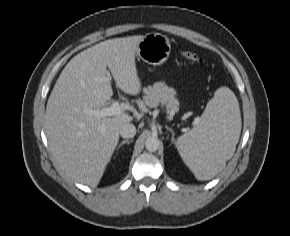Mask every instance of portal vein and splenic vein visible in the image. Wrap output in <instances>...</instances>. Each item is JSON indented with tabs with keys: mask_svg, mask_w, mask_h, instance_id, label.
Returning a JSON list of instances; mask_svg holds the SVG:
<instances>
[{
	"mask_svg": "<svg viewBox=\"0 0 290 236\" xmlns=\"http://www.w3.org/2000/svg\"><path fill=\"white\" fill-rule=\"evenodd\" d=\"M126 108L118 101H114L111 106L102 108L100 110H90L88 114L94 115L97 118L120 115Z\"/></svg>",
	"mask_w": 290,
	"mask_h": 236,
	"instance_id": "1",
	"label": "portal vein and splenic vein"
}]
</instances>
